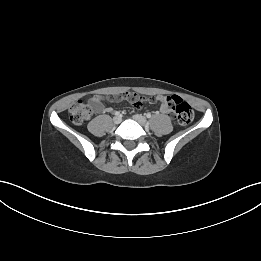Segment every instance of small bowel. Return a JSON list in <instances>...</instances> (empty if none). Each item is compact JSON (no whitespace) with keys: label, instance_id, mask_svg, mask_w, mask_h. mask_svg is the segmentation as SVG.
Segmentation results:
<instances>
[{"label":"small bowel","instance_id":"c3829d8e","mask_svg":"<svg viewBox=\"0 0 261 261\" xmlns=\"http://www.w3.org/2000/svg\"><path fill=\"white\" fill-rule=\"evenodd\" d=\"M104 100H106L108 103H111L112 101L120 102L123 100L127 103H130L133 107L149 105L155 106L158 103V100L155 97L150 98L147 95H141L139 92L125 91L122 95L117 93L114 97L111 94H108L105 99L103 96L94 95L88 101L89 107L96 113L108 112L110 109L104 106ZM160 110L164 114L168 113L167 108L163 102L161 103Z\"/></svg>","mask_w":261,"mask_h":261}]
</instances>
